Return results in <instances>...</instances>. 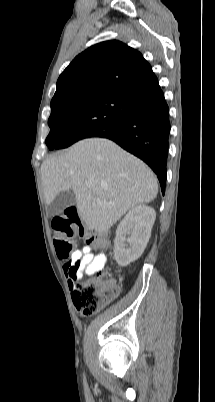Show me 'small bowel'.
Masks as SVG:
<instances>
[{
  "label": "small bowel",
  "mask_w": 215,
  "mask_h": 402,
  "mask_svg": "<svg viewBox=\"0 0 215 402\" xmlns=\"http://www.w3.org/2000/svg\"><path fill=\"white\" fill-rule=\"evenodd\" d=\"M71 258L73 261L78 259L81 260L79 267L74 273L71 272V269L69 266H67V263L64 266V270L68 278V286L72 291L75 290L76 283L80 281L85 275H92L96 271L101 270L106 262L105 255L98 254L94 256L91 253L90 246H85L80 250H76L72 254Z\"/></svg>",
  "instance_id": "small-bowel-1"
}]
</instances>
